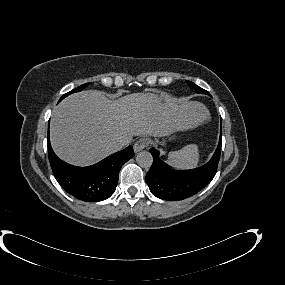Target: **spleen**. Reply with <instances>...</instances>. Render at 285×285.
<instances>
[{
    "mask_svg": "<svg viewBox=\"0 0 285 285\" xmlns=\"http://www.w3.org/2000/svg\"><path fill=\"white\" fill-rule=\"evenodd\" d=\"M200 161L197 145H187L181 150L170 152L167 163L177 169H189L198 166Z\"/></svg>",
    "mask_w": 285,
    "mask_h": 285,
    "instance_id": "obj_1",
    "label": "spleen"
}]
</instances>
